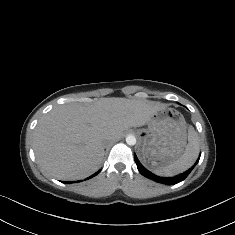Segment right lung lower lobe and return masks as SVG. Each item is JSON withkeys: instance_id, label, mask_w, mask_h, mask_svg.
Segmentation results:
<instances>
[{"instance_id": "98d812e1", "label": "right lung lower lobe", "mask_w": 235, "mask_h": 235, "mask_svg": "<svg viewBox=\"0 0 235 235\" xmlns=\"http://www.w3.org/2000/svg\"><path fill=\"white\" fill-rule=\"evenodd\" d=\"M99 172H100V171L96 172L94 175L90 176L89 178L94 177V176L97 175ZM89 178H88V179H89ZM64 183H73V182H64Z\"/></svg>"}]
</instances>
